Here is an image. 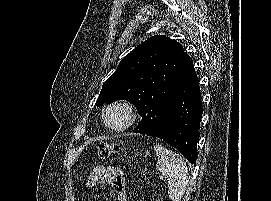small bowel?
<instances>
[{
	"label": "small bowel",
	"mask_w": 271,
	"mask_h": 201,
	"mask_svg": "<svg viewBox=\"0 0 271 201\" xmlns=\"http://www.w3.org/2000/svg\"><path fill=\"white\" fill-rule=\"evenodd\" d=\"M110 184L118 196V201H127L126 181L123 171L118 167L97 166L89 175L87 185L94 188Z\"/></svg>",
	"instance_id": "small-bowel-1"
}]
</instances>
